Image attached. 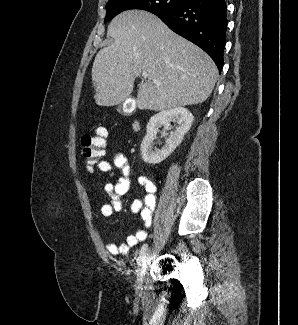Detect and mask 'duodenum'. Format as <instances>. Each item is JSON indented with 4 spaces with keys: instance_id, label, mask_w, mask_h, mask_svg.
Instances as JSON below:
<instances>
[{
    "instance_id": "410a0bca",
    "label": "duodenum",
    "mask_w": 298,
    "mask_h": 325,
    "mask_svg": "<svg viewBox=\"0 0 298 325\" xmlns=\"http://www.w3.org/2000/svg\"><path fill=\"white\" fill-rule=\"evenodd\" d=\"M133 129H134V131H138L140 129V124L138 121H135L133 123Z\"/></svg>"
}]
</instances>
